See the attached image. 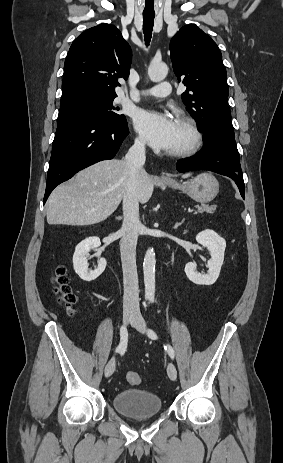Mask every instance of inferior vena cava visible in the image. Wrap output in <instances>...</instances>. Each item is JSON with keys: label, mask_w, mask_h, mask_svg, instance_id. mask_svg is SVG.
<instances>
[{"label": "inferior vena cava", "mask_w": 283, "mask_h": 463, "mask_svg": "<svg viewBox=\"0 0 283 463\" xmlns=\"http://www.w3.org/2000/svg\"><path fill=\"white\" fill-rule=\"evenodd\" d=\"M145 141L136 139L125 156L129 170V178L123 195V224L120 244L121 262L123 270L125 311L139 310V289L136 267V244L139 220V187L144 179L143 165L145 163Z\"/></svg>", "instance_id": "inferior-vena-cava-1"}]
</instances>
